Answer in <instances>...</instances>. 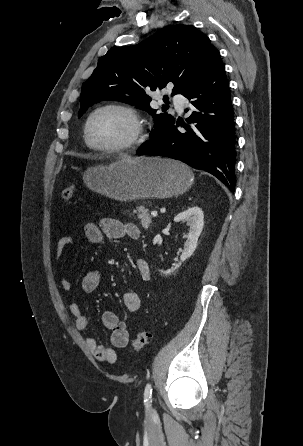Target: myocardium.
<instances>
[{
    "label": "myocardium",
    "instance_id": "myocardium-1",
    "mask_svg": "<svg viewBox=\"0 0 303 446\" xmlns=\"http://www.w3.org/2000/svg\"><path fill=\"white\" fill-rule=\"evenodd\" d=\"M105 110H116V111L124 113L125 115H127L130 118V120L133 124V132H132L131 136L125 142L120 143L118 145H114V146H97L92 143L90 136H89L90 124H91L93 118L98 113L105 111ZM145 129H146L145 121H144L142 115L140 114V112L136 108L129 106V105L119 104V103H108V104L97 107L90 113V115L88 116V118L85 122V126H84V139H85L87 146L89 148H91L92 150L99 151V152H107V153L122 152V151H126V150H129V149H132V148L138 146L143 141V139L145 137Z\"/></svg>",
    "mask_w": 303,
    "mask_h": 446
}]
</instances>
